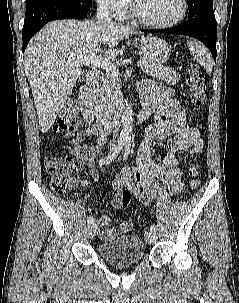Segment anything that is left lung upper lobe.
Segmentation results:
<instances>
[{
    "label": "left lung upper lobe",
    "mask_w": 239,
    "mask_h": 303,
    "mask_svg": "<svg viewBox=\"0 0 239 303\" xmlns=\"http://www.w3.org/2000/svg\"><path fill=\"white\" fill-rule=\"evenodd\" d=\"M187 4L189 19L201 13L213 12V0H187Z\"/></svg>",
    "instance_id": "left-lung-upper-lobe-1"
}]
</instances>
